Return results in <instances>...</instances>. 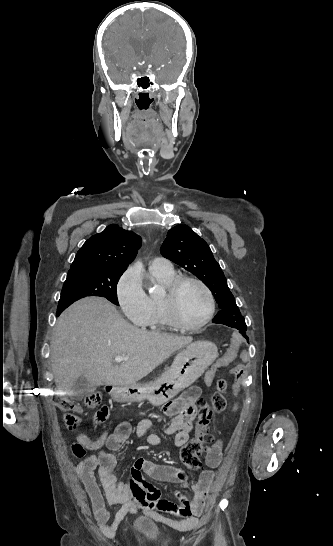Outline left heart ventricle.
I'll return each mask as SVG.
<instances>
[{
	"instance_id": "b2bd125f",
	"label": "left heart ventricle",
	"mask_w": 333,
	"mask_h": 546,
	"mask_svg": "<svg viewBox=\"0 0 333 546\" xmlns=\"http://www.w3.org/2000/svg\"><path fill=\"white\" fill-rule=\"evenodd\" d=\"M176 305L177 311L184 322L196 324L207 313L208 298L200 286L189 282L180 288Z\"/></svg>"
}]
</instances>
